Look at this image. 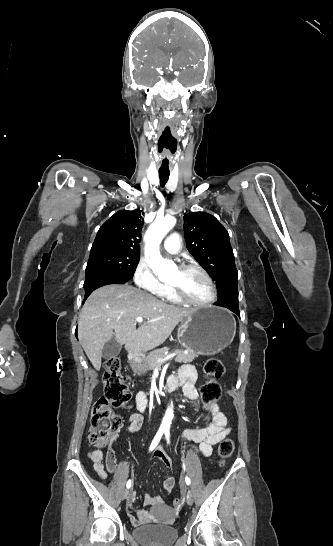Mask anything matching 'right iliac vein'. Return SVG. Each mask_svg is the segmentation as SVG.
<instances>
[{
	"instance_id": "1",
	"label": "right iliac vein",
	"mask_w": 333,
	"mask_h": 546,
	"mask_svg": "<svg viewBox=\"0 0 333 546\" xmlns=\"http://www.w3.org/2000/svg\"><path fill=\"white\" fill-rule=\"evenodd\" d=\"M128 493H129V491H128L127 489H125V490L123 491V493H122V499H123V500L127 497Z\"/></svg>"
}]
</instances>
